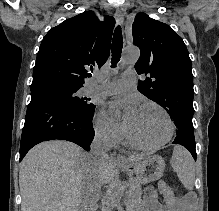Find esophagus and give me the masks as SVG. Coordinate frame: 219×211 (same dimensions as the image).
Segmentation results:
<instances>
[{
    "instance_id": "esophagus-1",
    "label": "esophagus",
    "mask_w": 219,
    "mask_h": 211,
    "mask_svg": "<svg viewBox=\"0 0 219 211\" xmlns=\"http://www.w3.org/2000/svg\"><path fill=\"white\" fill-rule=\"evenodd\" d=\"M115 19H116L118 24L123 25L124 16H123V13H122V11L120 9L116 10V12H115ZM124 161H125L124 156H122V155H118L117 156V162L118 163H123Z\"/></svg>"
}]
</instances>
